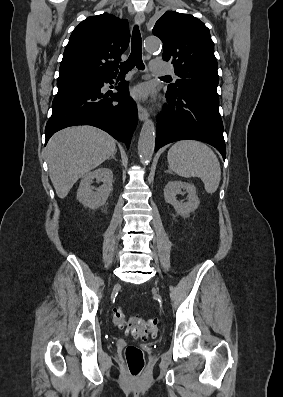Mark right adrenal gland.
Instances as JSON below:
<instances>
[{"label": "right adrenal gland", "mask_w": 283, "mask_h": 397, "mask_svg": "<svg viewBox=\"0 0 283 397\" xmlns=\"http://www.w3.org/2000/svg\"><path fill=\"white\" fill-rule=\"evenodd\" d=\"M115 155H116V152L110 157V159H114V160H116L117 161V159H116V157H115Z\"/></svg>", "instance_id": "1"}]
</instances>
